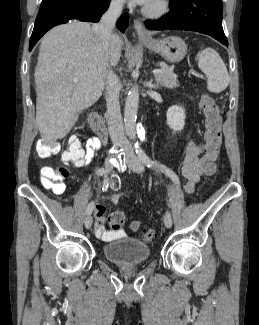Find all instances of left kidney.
Wrapping results in <instances>:
<instances>
[{
    "label": "left kidney",
    "instance_id": "obj_1",
    "mask_svg": "<svg viewBox=\"0 0 259 325\" xmlns=\"http://www.w3.org/2000/svg\"><path fill=\"white\" fill-rule=\"evenodd\" d=\"M167 125L173 132H179L185 125V110L182 106L174 105L167 111Z\"/></svg>",
    "mask_w": 259,
    "mask_h": 325
}]
</instances>
